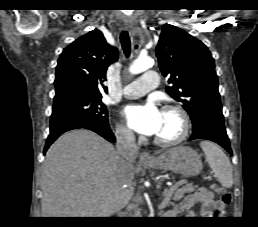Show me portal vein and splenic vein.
<instances>
[{
  "mask_svg": "<svg viewBox=\"0 0 258 227\" xmlns=\"http://www.w3.org/2000/svg\"><path fill=\"white\" fill-rule=\"evenodd\" d=\"M187 183V180H180L178 181L174 186L170 187L166 192H165V197L163 201L160 203L158 206L159 209H163L166 207L168 202L170 201V198L172 196L173 191L178 188L180 185Z\"/></svg>",
  "mask_w": 258,
  "mask_h": 227,
  "instance_id": "1",
  "label": "portal vein and splenic vein"
}]
</instances>
